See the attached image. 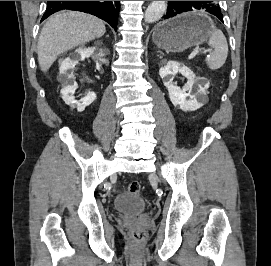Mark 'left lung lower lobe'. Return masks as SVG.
<instances>
[{"label": "left lung lower lobe", "mask_w": 271, "mask_h": 266, "mask_svg": "<svg viewBox=\"0 0 271 266\" xmlns=\"http://www.w3.org/2000/svg\"><path fill=\"white\" fill-rule=\"evenodd\" d=\"M197 9L205 10L223 22V15L218 1H168L167 13L163 16V19Z\"/></svg>", "instance_id": "1"}]
</instances>
